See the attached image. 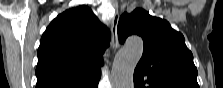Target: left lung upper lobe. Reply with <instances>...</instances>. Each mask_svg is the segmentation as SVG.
I'll list each match as a JSON object with an SVG mask.
<instances>
[{
	"mask_svg": "<svg viewBox=\"0 0 223 88\" xmlns=\"http://www.w3.org/2000/svg\"><path fill=\"white\" fill-rule=\"evenodd\" d=\"M132 34L142 37L143 55L134 71V85L143 88H199L197 68L184 36L164 20L143 9L124 13L119 20L120 42ZM145 80V81H144Z\"/></svg>",
	"mask_w": 223,
	"mask_h": 88,
	"instance_id": "1",
	"label": "left lung upper lobe"
}]
</instances>
